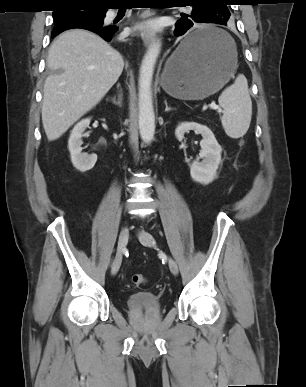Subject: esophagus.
<instances>
[{
	"instance_id": "obj_1",
	"label": "esophagus",
	"mask_w": 306,
	"mask_h": 387,
	"mask_svg": "<svg viewBox=\"0 0 306 387\" xmlns=\"http://www.w3.org/2000/svg\"><path fill=\"white\" fill-rule=\"evenodd\" d=\"M141 37L145 46H149L155 40V32L150 29H143Z\"/></svg>"
}]
</instances>
